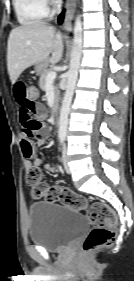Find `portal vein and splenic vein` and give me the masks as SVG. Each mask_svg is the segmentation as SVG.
<instances>
[{"instance_id":"1","label":"portal vein and splenic vein","mask_w":134,"mask_h":281,"mask_svg":"<svg viewBox=\"0 0 134 281\" xmlns=\"http://www.w3.org/2000/svg\"><path fill=\"white\" fill-rule=\"evenodd\" d=\"M56 76H57V74H56L55 71L49 72L48 75H47V79H46L47 82L48 81H53L56 78Z\"/></svg>"}]
</instances>
